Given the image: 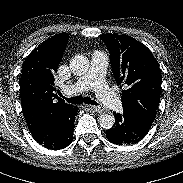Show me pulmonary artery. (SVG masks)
I'll return each mask as SVG.
<instances>
[{
	"instance_id": "e3ab8cb5",
	"label": "pulmonary artery",
	"mask_w": 183,
	"mask_h": 183,
	"mask_svg": "<svg viewBox=\"0 0 183 183\" xmlns=\"http://www.w3.org/2000/svg\"><path fill=\"white\" fill-rule=\"evenodd\" d=\"M108 66V55L101 51L92 54L88 72L80 77L74 84L65 87L66 94H76L93 89L100 101L109 109H121V100L111 91L104 79Z\"/></svg>"
}]
</instances>
